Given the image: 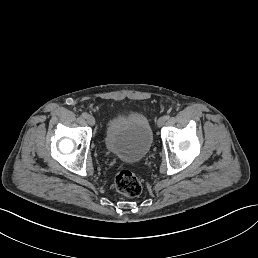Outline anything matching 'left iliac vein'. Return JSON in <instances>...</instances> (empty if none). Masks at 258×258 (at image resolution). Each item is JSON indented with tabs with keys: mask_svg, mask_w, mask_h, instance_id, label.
I'll list each match as a JSON object with an SVG mask.
<instances>
[{
	"mask_svg": "<svg viewBox=\"0 0 258 258\" xmlns=\"http://www.w3.org/2000/svg\"><path fill=\"white\" fill-rule=\"evenodd\" d=\"M166 121H167V120H166L165 117H163V116L160 117V118L158 119V121H157V124H156L157 127L160 128L161 126L165 125Z\"/></svg>",
	"mask_w": 258,
	"mask_h": 258,
	"instance_id": "obj_1",
	"label": "left iliac vein"
}]
</instances>
